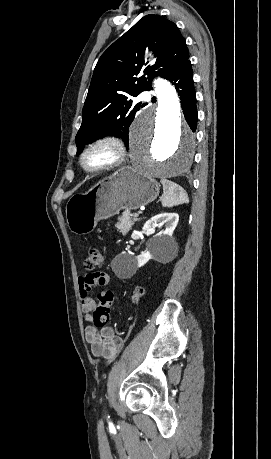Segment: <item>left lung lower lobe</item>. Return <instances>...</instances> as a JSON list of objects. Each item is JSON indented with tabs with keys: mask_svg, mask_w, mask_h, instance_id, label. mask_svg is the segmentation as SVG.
I'll use <instances>...</instances> for the list:
<instances>
[{
	"mask_svg": "<svg viewBox=\"0 0 271 459\" xmlns=\"http://www.w3.org/2000/svg\"><path fill=\"white\" fill-rule=\"evenodd\" d=\"M168 79L176 87L180 96L181 106L188 125L193 132L197 128L198 112L194 89L193 70L189 58L184 61Z\"/></svg>",
	"mask_w": 271,
	"mask_h": 459,
	"instance_id": "left-lung-lower-lobe-1",
	"label": "left lung lower lobe"
}]
</instances>
